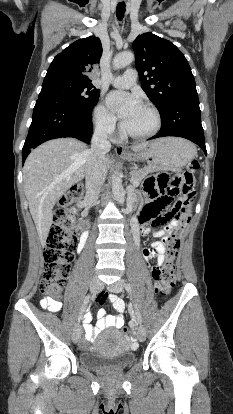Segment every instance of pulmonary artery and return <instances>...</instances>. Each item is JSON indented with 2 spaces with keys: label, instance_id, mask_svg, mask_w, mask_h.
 Returning <instances> with one entry per match:
<instances>
[{
  "label": "pulmonary artery",
  "instance_id": "e3ab8cb5",
  "mask_svg": "<svg viewBox=\"0 0 233 414\" xmlns=\"http://www.w3.org/2000/svg\"><path fill=\"white\" fill-rule=\"evenodd\" d=\"M137 72L133 68L127 69L124 74L114 77L111 84L118 88H129L135 84Z\"/></svg>",
  "mask_w": 233,
  "mask_h": 414
}]
</instances>
